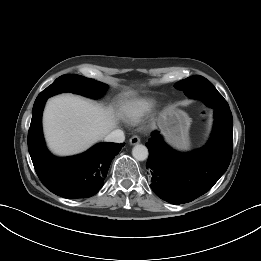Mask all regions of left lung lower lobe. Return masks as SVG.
Returning <instances> with one entry per match:
<instances>
[{"mask_svg": "<svg viewBox=\"0 0 261 261\" xmlns=\"http://www.w3.org/2000/svg\"><path fill=\"white\" fill-rule=\"evenodd\" d=\"M186 96L200 99L214 109V130L207 144L191 153H179L165 144L156 131L146 143L150 187L161 199L176 205L209 191L227 170L233 149L232 113L216 88L206 81Z\"/></svg>", "mask_w": 261, "mask_h": 261, "instance_id": "0a47b994", "label": "left lung lower lobe"}]
</instances>
